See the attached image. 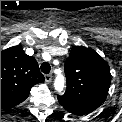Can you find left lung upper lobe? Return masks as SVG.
<instances>
[{
  "instance_id": "obj_1",
  "label": "left lung upper lobe",
  "mask_w": 122,
  "mask_h": 122,
  "mask_svg": "<svg viewBox=\"0 0 122 122\" xmlns=\"http://www.w3.org/2000/svg\"><path fill=\"white\" fill-rule=\"evenodd\" d=\"M67 88L59 103L75 115H86L106 99L111 83L107 62L93 49L75 46L65 62Z\"/></svg>"
}]
</instances>
